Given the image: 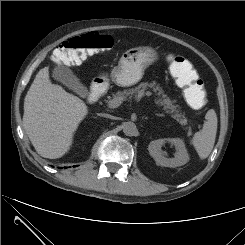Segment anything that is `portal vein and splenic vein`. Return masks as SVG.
I'll list each match as a JSON object with an SVG mask.
<instances>
[{"label":"portal vein and splenic vein","mask_w":245,"mask_h":245,"mask_svg":"<svg viewBox=\"0 0 245 245\" xmlns=\"http://www.w3.org/2000/svg\"><path fill=\"white\" fill-rule=\"evenodd\" d=\"M146 96L150 97L151 93L150 92H146ZM123 101L124 100L122 98L117 97V98H114L111 101H109L108 102V106L110 108H117L123 103Z\"/></svg>","instance_id":"1"}]
</instances>
